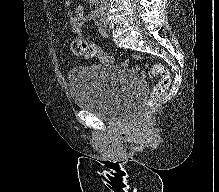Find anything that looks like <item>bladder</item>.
<instances>
[{"instance_id": "1", "label": "bladder", "mask_w": 219, "mask_h": 192, "mask_svg": "<svg viewBox=\"0 0 219 192\" xmlns=\"http://www.w3.org/2000/svg\"><path fill=\"white\" fill-rule=\"evenodd\" d=\"M68 84L75 107L108 122L132 118L144 100V88L129 71L114 64L74 68Z\"/></svg>"}]
</instances>
